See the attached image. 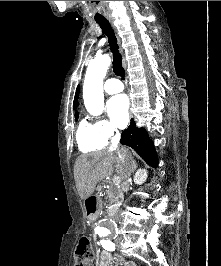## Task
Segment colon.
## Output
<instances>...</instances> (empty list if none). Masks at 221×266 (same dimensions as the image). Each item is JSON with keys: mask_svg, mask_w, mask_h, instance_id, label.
<instances>
[{"mask_svg": "<svg viewBox=\"0 0 221 266\" xmlns=\"http://www.w3.org/2000/svg\"><path fill=\"white\" fill-rule=\"evenodd\" d=\"M75 266H91L94 258L92 242L89 237H81L75 251Z\"/></svg>", "mask_w": 221, "mask_h": 266, "instance_id": "5ec220e1", "label": "colon"}]
</instances>
